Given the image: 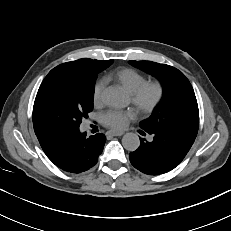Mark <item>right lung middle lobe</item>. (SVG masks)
Listing matches in <instances>:
<instances>
[{
  "label": "right lung middle lobe",
  "instance_id": "dd1d6c3e",
  "mask_svg": "<svg viewBox=\"0 0 231 231\" xmlns=\"http://www.w3.org/2000/svg\"><path fill=\"white\" fill-rule=\"evenodd\" d=\"M113 60L92 73L80 74L70 66L60 65L52 69L38 90L33 107V125L50 130L79 129L83 118L93 108L96 74L107 68Z\"/></svg>",
  "mask_w": 231,
  "mask_h": 231
}]
</instances>
